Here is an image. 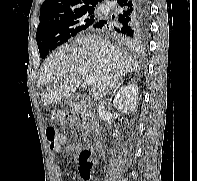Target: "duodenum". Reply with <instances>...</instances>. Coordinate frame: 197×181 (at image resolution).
I'll return each instance as SVG.
<instances>
[{"label": "duodenum", "mask_w": 197, "mask_h": 181, "mask_svg": "<svg viewBox=\"0 0 197 181\" xmlns=\"http://www.w3.org/2000/svg\"><path fill=\"white\" fill-rule=\"evenodd\" d=\"M75 109L79 111L85 117L88 127L92 128V124H91V120L93 118L92 113L88 109H86L84 106L79 105V104L75 105ZM94 141H96V139H94L93 142Z\"/></svg>", "instance_id": "obj_1"}]
</instances>
